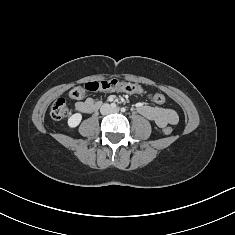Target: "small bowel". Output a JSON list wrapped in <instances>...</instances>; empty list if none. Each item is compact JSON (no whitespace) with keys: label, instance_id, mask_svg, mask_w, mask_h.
<instances>
[{"label":"small bowel","instance_id":"small-bowel-1","mask_svg":"<svg viewBox=\"0 0 235 235\" xmlns=\"http://www.w3.org/2000/svg\"><path fill=\"white\" fill-rule=\"evenodd\" d=\"M95 104L100 105L98 101L87 98L83 101L76 102L75 109L81 113H89L91 107ZM137 110L142 116L153 121L160 128H164L167 125H176L179 121L177 112L171 108H158L148 104H140Z\"/></svg>","mask_w":235,"mask_h":235}]
</instances>
